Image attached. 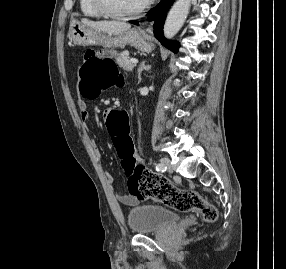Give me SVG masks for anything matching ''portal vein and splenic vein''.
<instances>
[{
  "label": "portal vein and splenic vein",
  "instance_id": "1",
  "mask_svg": "<svg viewBox=\"0 0 286 269\" xmlns=\"http://www.w3.org/2000/svg\"><path fill=\"white\" fill-rule=\"evenodd\" d=\"M130 62L133 63V64H137V63H138V60L135 59V58H132V59H130Z\"/></svg>",
  "mask_w": 286,
  "mask_h": 269
}]
</instances>
